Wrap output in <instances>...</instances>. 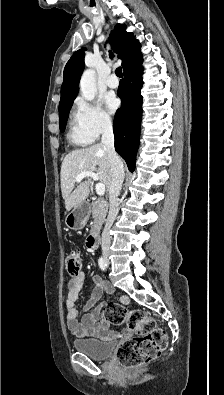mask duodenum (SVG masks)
Wrapping results in <instances>:
<instances>
[{
  "label": "duodenum",
  "instance_id": "1",
  "mask_svg": "<svg viewBox=\"0 0 224 395\" xmlns=\"http://www.w3.org/2000/svg\"><path fill=\"white\" fill-rule=\"evenodd\" d=\"M99 233L97 229H93L87 238V247L91 250L95 249L98 245Z\"/></svg>",
  "mask_w": 224,
  "mask_h": 395
}]
</instances>
